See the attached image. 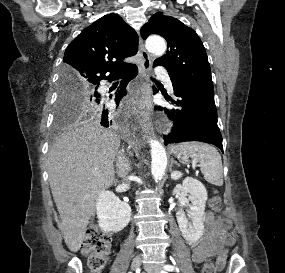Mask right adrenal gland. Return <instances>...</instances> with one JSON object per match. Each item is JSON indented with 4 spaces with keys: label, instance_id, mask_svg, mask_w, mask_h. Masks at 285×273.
I'll return each instance as SVG.
<instances>
[{
    "label": "right adrenal gland",
    "instance_id": "obj_1",
    "mask_svg": "<svg viewBox=\"0 0 285 273\" xmlns=\"http://www.w3.org/2000/svg\"><path fill=\"white\" fill-rule=\"evenodd\" d=\"M121 154H122V153H121ZM122 155H123V154H122ZM127 162H128V160H127ZM117 174L121 176V174H120V172H119V171H117Z\"/></svg>",
    "mask_w": 285,
    "mask_h": 273
}]
</instances>
